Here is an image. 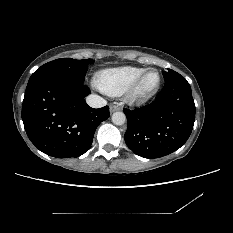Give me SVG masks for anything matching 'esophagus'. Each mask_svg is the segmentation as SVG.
I'll return each instance as SVG.
<instances>
[{
	"label": "esophagus",
	"mask_w": 233,
	"mask_h": 233,
	"mask_svg": "<svg viewBox=\"0 0 233 233\" xmlns=\"http://www.w3.org/2000/svg\"><path fill=\"white\" fill-rule=\"evenodd\" d=\"M120 110V107L118 105H111L110 106V112L113 113L115 111Z\"/></svg>",
	"instance_id": "esophagus-1"
}]
</instances>
